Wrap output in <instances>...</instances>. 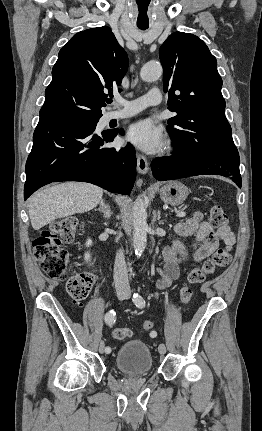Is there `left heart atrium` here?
<instances>
[{
  "label": "left heart atrium",
  "instance_id": "left-heart-atrium-1",
  "mask_svg": "<svg viewBox=\"0 0 262 431\" xmlns=\"http://www.w3.org/2000/svg\"><path fill=\"white\" fill-rule=\"evenodd\" d=\"M126 140L141 150L152 153L163 145L164 137L160 128L145 119L129 127Z\"/></svg>",
  "mask_w": 262,
  "mask_h": 431
}]
</instances>
